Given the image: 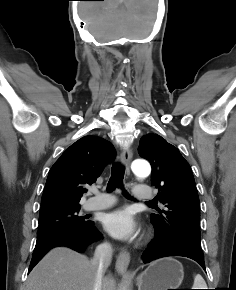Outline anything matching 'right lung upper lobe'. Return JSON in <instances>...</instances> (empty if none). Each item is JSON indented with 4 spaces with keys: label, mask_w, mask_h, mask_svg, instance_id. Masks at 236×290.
Instances as JSON below:
<instances>
[{
    "label": "right lung upper lobe",
    "mask_w": 236,
    "mask_h": 290,
    "mask_svg": "<svg viewBox=\"0 0 236 290\" xmlns=\"http://www.w3.org/2000/svg\"><path fill=\"white\" fill-rule=\"evenodd\" d=\"M115 158L113 145L100 137L84 136L61 155L49 171L41 210L79 205L86 191Z\"/></svg>",
    "instance_id": "right-lung-upper-lobe-1"
}]
</instances>
